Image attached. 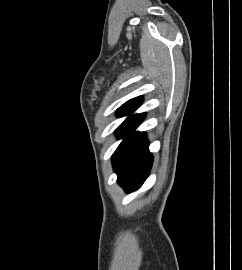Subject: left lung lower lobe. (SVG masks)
I'll return each instance as SVG.
<instances>
[{
    "label": "left lung lower lobe",
    "instance_id": "obj_1",
    "mask_svg": "<svg viewBox=\"0 0 242 270\" xmlns=\"http://www.w3.org/2000/svg\"><path fill=\"white\" fill-rule=\"evenodd\" d=\"M144 116V113L132 115L116 129L118 137L125 139L112 156L113 168L118 175V183L128 193L143 184L152 166L153 157L148 150L146 134L134 132Z\"/></svg>",
    "mask_w": 242,
    "mask_h": 270
}]
</instances>
